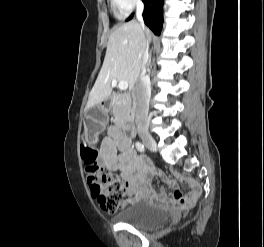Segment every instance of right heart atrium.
Returning <instances> with one entry per match:
<instances>
[{
	"instance_id": "obj_1",
	"label": "right heart atrium",
	"mask_w": 264,
	"mask_h": 247,
	"mask_svg": "<svg viewBox=\"0 0 264 247\" xmlns=\"http://www.w3.org/2000/svg\"><path fill=\"white\" fill-rule=\"evenodd\" d=\"M115 11L119 16L128 15L136 6L141 4V0H111Z\"/></svg>"
}]
</instances>
